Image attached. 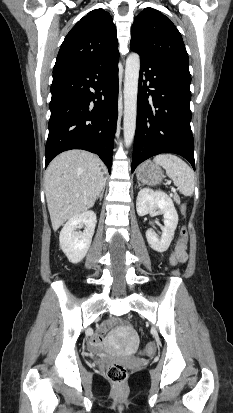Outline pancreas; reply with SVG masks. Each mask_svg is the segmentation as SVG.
Instances as JSON below:
<instances>
[{
    "label": "pancreas",
    "instance_id": "obj_1",
    "mask_svg": "<svg viewBox=\"0 0 233 413\" xmlns=\"http://www.w3.org/2000/svg\"><path fill=\"white\" fill-rule=\"evenodd\" d=\"M174 200L176 201L177 204H180V198L178 196H174Z\"/></svg>",
    "mask_w": 233,
    "mask_h": 413
}]
</instances>
